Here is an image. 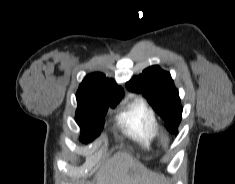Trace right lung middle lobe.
<instances>
[{
  "label": "right lung middle lobe",
  "mask_w": 235,
  "mask_h": 184,
  "mask_svg": "<svg viewBox=\"0 0 235 184\" xmlns=\"http://www.w3.org/2000/svg\"><path fill=\"white\" fill-rule=\"evenodd\" d=\"M78 102L76 122L81 128V140L84 143L93 141L103 129L104 116L108 107L114 108L117 104L92 107Z\"/></svg>",
  "instance_id": "dd1d6c3e"
}]
</instances>
